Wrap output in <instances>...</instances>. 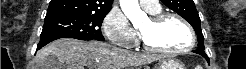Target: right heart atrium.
<instances>
[{
  "instance_id": "obj_1",
  "label": "right heart atrium",
  "mask_w": 246,
  "mask_h": 69,
  "mask_svg": "<svg viewBox=\"0 0 246 69\" xmlns=\"http://www.w3.org/2000/svg\"><path fill=\"white\" fill-rule=\"evenodd\" d=\"M104 33L109 41L118 45L132 43L129 26L125 16L119 11L110 12L103 23Z\"/></svg>"
}]
</instances>
